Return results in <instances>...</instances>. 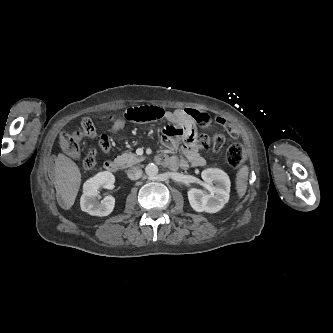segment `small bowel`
I'll list each match as a JSON object with an SVG mask.
<instances>
[{
  "instance_id": "obj_1",
  "label": "small bowel",
  "mask_w": 333,
  "mask_h": 333,
  "mask_svg": "<svg viewBox=\"0 0 333 333\" xmlns=\"http://www.w3.org/2000/svg\"><path fill=\"white\" fill-rule=\"evenodd\" d=\"M165 118L173 125L168 127L164 134V145L169 150H175L178 147L179 141H183L182 152L185 158L176 156H168L160 154L157 157L158 162L171 169H187L190 165L201 167L205 165V159L200 155L199 149L195 142L194 124L207 126L211 123V116L204 111L185 110L180 115H175L170 112L165 113ZM215 121L225 130L231 138H237L238 134L234 127L231 126L227 119L217 117ZM126 121L122 118H117L112 124L114 131L120 130Z\"/></svg>"
}]
</instances>
